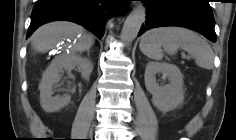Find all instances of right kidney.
Segmentation results:
<instances>
[{
    "label": "right kidney",
    "instance_id": "ca27d5eb",
    "mask_svg": "<svg viewBox=\"0 0 236 140\" xmlns=\"http://www.w3.org/2000/svg\"><path fill=\"white\" fill-rule=\"evenodd\" d=\"M76 66L80 68L82 77L89 79L93 69L92 62L77 55L58 56L48 66L39 85L40 104L44 111L56 112L70 102L71 97L68 94L53 97V88L60 81L61 72H70Z\"/></svg>",
    "mask_w": 236,
    "mask_h": 140
}]
</instances>
